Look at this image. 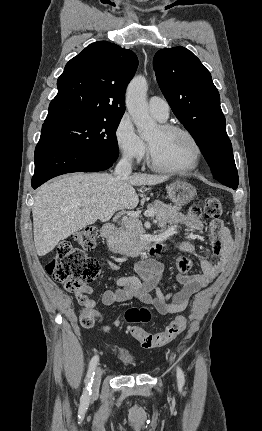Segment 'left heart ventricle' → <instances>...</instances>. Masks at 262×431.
Wrapping results in <instances>:
<instances>
[{
    "instance_id": "1",
    "label": "left heart ventricle",
    "mask_w": 262,
    "mask_h": 431,
    "mask_svg": "<svg viewBox=\"0 0 262 431\" xmlns=\"http://www.w3.org/2000/svg\"><path fill=\"white\" fill-rule=\"evenodd\" d=\"M156 161L167 167L181 168L191 164L194 148L190 139L180 132H163L157 127L147 137Z\"/></svg>"
}]
</instances>
